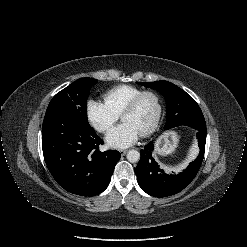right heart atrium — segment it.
Instances as JSON below:
<instances>
[{
  "instance_id": "obj_1",
  "label": "right heart atrium",
  "mask_w": 247,
  "mask_h": 247,
  "mask_svg": "<svg viewBox=\"0 0 247 247\" xmlns=\"http://www.w3.org/2000/svg\"><path fill=\"white\" fill-rule=\"evenodd\" d=\"M86 117L90 124L99 132H106L119 119V115L105 102L96 99L87 101Z\"/></svg>"
}]
</instances>
